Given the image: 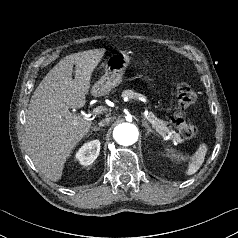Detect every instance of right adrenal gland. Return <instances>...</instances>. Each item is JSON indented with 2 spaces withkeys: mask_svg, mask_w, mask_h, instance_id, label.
<instances>
[{
  "mask_svg": "<svg viewBox=\"0 0 238 238\" xmlns=\"http://www.w3.org/2000/svg\"><path fill=\"white\" fill-rule=\"evenodd\" d=\"M98 130H100L99 127H93V129H92V131H98Z\"/></svg>",
  "mask_w": 238,
  "mask_h": 238,
  "instance_id": "1",
  "label": "right adrenal gland"
}]
</instances>
